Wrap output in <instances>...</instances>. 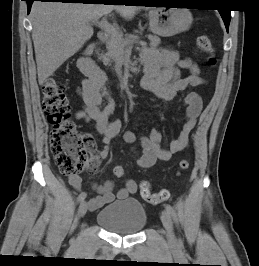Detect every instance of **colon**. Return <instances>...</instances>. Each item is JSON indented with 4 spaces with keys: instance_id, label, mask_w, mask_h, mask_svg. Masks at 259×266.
Listing matches in <instances>:
<instances>
[{
    "instance_id": "1",
    "label": "colon",
    "mask_w": 259,
    "mask_h": 266,
    "mask_svg": "<svg viewBox=\"0 0 259 266\" xmlns=\"http://www.w3.org/2000/svg\"><path fill=\"white\" fill-rule=\"evenodd\" d=\"M198 48L208 54V62L216 64L214 48L207 35H200L196 40ZM42 108L48 123L51 125L50 148L59 170L66 175H77L88 162L87 149L92 146V138L80 132L71 118V106L62 84L55 79H48L42 87ZM180 170H187L189 162L181 160ZM116 177L125 175L122 166L114 168ZM140 194L144 201L156 205L166 201L170 192L163 189L158 193L152 191L151 185L143 181Z\"/></svg>"
}]
</instances>
